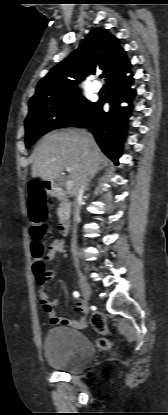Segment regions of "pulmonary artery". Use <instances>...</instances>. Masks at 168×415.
Listing matches in <instances>:
<instances>
[{
	"label": "pulmonary artery",
	"mask_w": 168,
	"mask_h": 415,
	"mask_svg": "<svg viewBox=\"0 0 168 415\" xmlns=\"http://www.w3.org/2000/svg\"><path fill=\"white\" fill-rule=\"evenodd\" d=\"M102 86L98 81H93L91 83V89L93 92H99L101 90Z\"/></svg>",
	"instance_id": "pulmonary-artery-1"
}]
</instances>
